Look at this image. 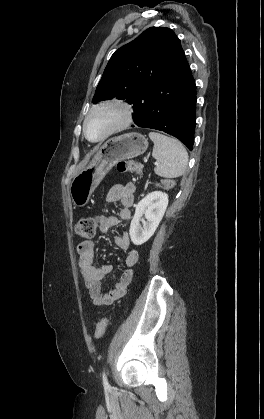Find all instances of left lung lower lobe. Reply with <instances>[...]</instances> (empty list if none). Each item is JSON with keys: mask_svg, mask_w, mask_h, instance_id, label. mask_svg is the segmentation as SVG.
I'll list each match as a JSON object with an SVG mask.
<instances>
[{"mask_svg": "<svg viewBox=\"0 0 264 419\" xmlns=\"http://www.w3.org/2000/svg\"><path fill=\"white\" fill-rule=\"evenodd\" d=\"M141 106L134 109V123L164 131L193 148L196 119V86L184 51L170 77L153 83Z\"/></svg>", "mask_w": 264, "mask_h": 419, "instance_id": "0a47b994", "label": "left lung lower lobe"}]
</instances>
